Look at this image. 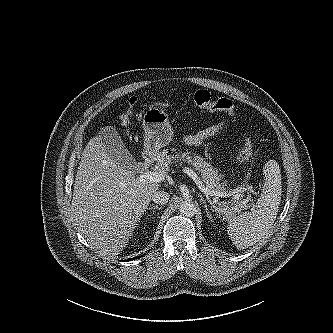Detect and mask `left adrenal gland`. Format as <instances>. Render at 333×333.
<instances>
[{"label": "left adrenal gland", "instance_id": "a2214340", "mask_svg": "<svg viewBox=\"0 0 333 333\" xmlns=\"http://www.w3.org/2000/svg\"><path fill=\"white\" fill-rule=\"evenodd\" d=\"M199 197H200L201 202L204 204V208H205V212H206L207 218H208L210 221H212V216H211V214H210V212H209V210H208V207H207V204H206L205 199H204L203 196L200 195V194H199Z\"/></svg>", "mask_w": 333, "mask_h": 333}]
</instances>
